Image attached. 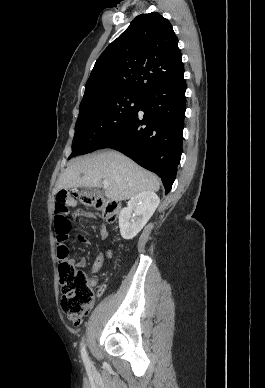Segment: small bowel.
I'll use <instances>...</instances> for the list:
<instances>
[{
  "label": "small bowel",
  "instance_id": "c3829d8e",
  "mask_svg": "<svg viewBox=\"0 0 265 388\" xmlns=\"http://www.w3.org/2000/svg\"><path fill=\"white\" fill-rule=\"evenodd\" d=\"M70 205L73 206V207H77L78 206V202L76 200L72 199L70 201ZM75 216L76 217H85V218H90V219L95 218V215H93L90 212L83 211V210H77L76 213H75ZM99 237L101 239H106L108 237V231H107V228L105 226H102L100 228V230H99ZM78 239L84 245L89 246V245L92 244V241L87 236L80 235ZM69 262L72 265L76 266V267H84L86 265V263H87L85 258H80L78 260H76V259H69ZM103 262H104V257L100 253L95 258L94 262L92 263L91 269H90L91 277L88 279V283H89V285L91 287H94V286L97 285V279L94 277V274H96L101 269V267L103 265ZM105 288H106V286L104 284L99 288L98 293H97L98 297L101 296L104 293Z\"/></svg>",
  "mask_w": 265,
  "mask_h": 388
}]
</instances>
